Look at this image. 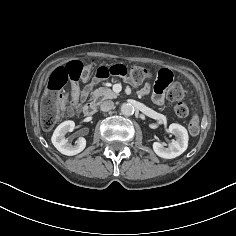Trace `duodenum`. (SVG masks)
<instances>
[{
	"mask_svg": "<svg viewBox=\"0 0 236 236\" xmlns=\"http://www.w3.org/2000/svg\"><path fill=\"white\" fill-rule=\"evenodd\" d=\"M95 114V104L94 103H88L84 107V116L87 118L93 117Z\"/></svg>",
	"mask_w": 236,
	"mask_h": 236,
	"instance_id": "obj_1",
	"label": "duodenum"
}]
</instances>
